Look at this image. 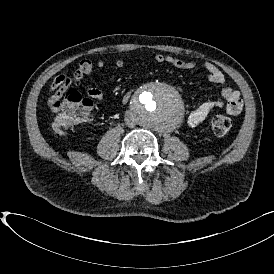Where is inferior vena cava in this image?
Instances as JSON below:
<instances>
[{"mask_svg":"<svg viewBox=\"0 0 274 274\" xmlns=\"http://www.w3.org/2000/svg\"><path fill=\"white\" fill-rule=\"evenodd\" d=\"M127 125H128L129 127H133V123H132V122H129Z\"/></svg>","mask_w":274,"mask_h":274,"instance_id":"inferior-vena-cava-1","label":"inferior vena cava"}]
</instances>
